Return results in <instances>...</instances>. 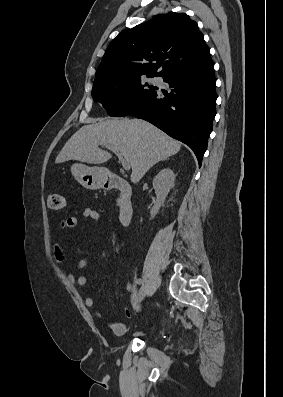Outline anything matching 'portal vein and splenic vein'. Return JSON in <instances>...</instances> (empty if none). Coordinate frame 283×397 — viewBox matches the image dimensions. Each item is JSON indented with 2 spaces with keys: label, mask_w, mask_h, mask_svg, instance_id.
Wrapping results in <instances>:
<instances>
[{
  "label": "portal vein and splenic vein",
  "mask_w": 283,
  "mask_h": 397,
  "mask_svg": "<svg viewBox=\"0 0 283 397\" xmlns=\"http://www.w3.org/2000/svg\"><path fill=\"white\" fill-rule=\"evenodd\" d=\"M106 148H108L110 151L116 154V156L119 159V162L122 164V167L124 170H129L130 169V164L125 158L122 156V154L119 152V150L113 146L103 144Z\"/></svg>",
  "instance_id": "18ae733b"
}]
</instances>
